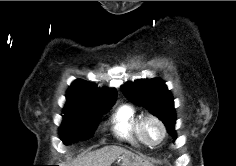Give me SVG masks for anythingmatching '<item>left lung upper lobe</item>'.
Masks as SVG:
<instances>
[{"mask_svg":"<svg viewBox=\"0 0 236 166\" xmlns=\"http://www.w3.org/2000/svg\"><path fill=\"white\" fill-rule=\"evenodd\" d=\"M123 93L133 102L146 107L165 124L168 132L174 129L176 113L173 97L165 82L159 78L138 79L121 86Z\"/></svg>","mask_w":236,"mask_h":166,"instance_id":"1","label":"left lung upper lobe"}]
</instances>
